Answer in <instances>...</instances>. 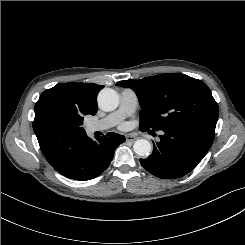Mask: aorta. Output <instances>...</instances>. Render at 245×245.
<instances>
[{
	"mask_svg": "<svg viewBox=\"0 0 245 245\" xmlns=\"http://www.w3.org/2000/svg\"><path fill=\"white\" fill-rule=\"evenodd\" d=\"M98 104L104 111L115 110L119 105L117 92L111 88L102 89L98 94ZM133 149L134 152L141 157L148 156L152 151L151 144L146 139L136 140L134 142Z\"/></svg>",
	"mask_w": 245,
	"mask_h": 245,
	"instance_id": "obj_1",
	"label": "aorta"
}]
</instances>
